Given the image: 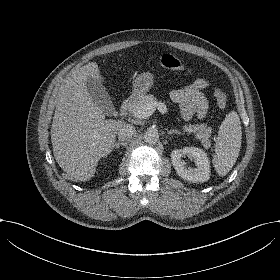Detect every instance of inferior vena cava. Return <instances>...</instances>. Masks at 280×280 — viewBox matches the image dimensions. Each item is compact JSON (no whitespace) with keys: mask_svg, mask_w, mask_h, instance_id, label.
I'll use <instances>...</instances> for the list:
<instances>
[{"mask_svg":"<svg viewBox=\"0 0 280 280\" xmlns=\"http://www.w3.org/2000/svg\"><path fill=\"white\" fill-rule=\"evenodd\" d=\"M135 134V127L129 123H124L118 128V137L122 141H126Z\"/></svg>","mask_w":280,"mask_h":280,"instance_id":"1","label":"inferior vena cava"}]
</instances>
